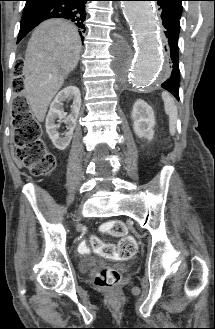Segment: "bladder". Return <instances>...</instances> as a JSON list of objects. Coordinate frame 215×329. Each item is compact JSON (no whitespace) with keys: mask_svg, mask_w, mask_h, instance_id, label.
Here are the masks:
<instances>
[{"mask_svg":"<svg viewBox=\"0 0 215 329\" xmlns=\"http://www.w3.org/2000/svg\"><path fill=\"white\" fill-rule=\"evenodd\" d=\"M97 264L96 259L84 258L79 262V270L81 273H87L92 270Z\"/></svg>","mask_w":215,"mask_h":329,"instance_id":"bladder-1","label":"bladder"}]
</instances>
